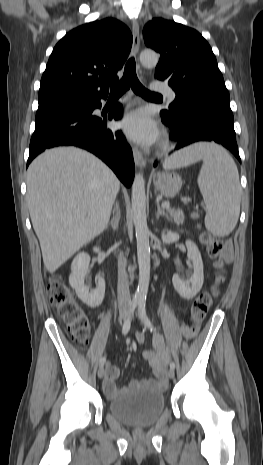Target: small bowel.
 <instances>
[{
    "instance_id": "obj_1",
    "label": "small bowel",
    "mask_w": 263,
    "mask_h": 465,
    "mask_svg": "<svg viewBox=\"0 0 263 465\" xmlns=\"http://www.w3.org/2000/svg\"><path fill=\"white\" fill-rule=\"evenodd\" d=\"M229 256L228 252L225 253V257ZM205 326L204 322H199L197 329L194 332L187 328L186 325L182 326V333L191 337L195 334H202L203 328ZM136 340L138 343L144 342V335L138 333L136 335ZM153 349L145 350L143 352V358L149 363L153 369L155 378L154 379H144L141 381H132L129 384V387L144 386L151 389H164L167 386V377H166V365L169 360V352L165 346L164 340L161 336L156 335L153 337ZM120 375L119 368L115 366H108L106 370V375L103 383L104 392L109 397H114L118 394L126 392L127 388L117 389L115 381Z\"/></svg>"
}]
</instances>
